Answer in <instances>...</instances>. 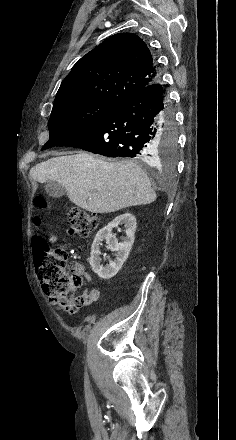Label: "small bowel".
I'll return each instance as SVG.
<instances>
[{"mask_svg": "<svg viewBox=\"0 0 236 440\" xmlns=\"http://www.w3.org/2000/svg\"><path fill=\"white\" fill-rule=\"evenodd\" d=\"M57 241V238L53 235L49 236L48 242L53 244ZM39 253V249L36 245H34V260L36 259ZM87 280H91L90 275L85 271L84 266L81 264L73 265ZM81 296L84 298V303L82 306H89L92 303L96 302L100 297V291L97 288H92L91 290L83 291Z\"/></svg>", "mask_w": 236, "mask_h": 440, "instance_id": "obj_1", "label": "small bowel"}]
</instances>
